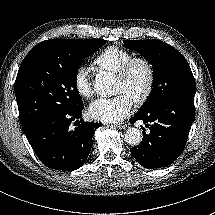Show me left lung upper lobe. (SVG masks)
Returning a JSON list of instances; mask_svg holds the SVG:
<instances>
[{"instance_id":"left-lung-upper-lobe-1","label":"left lung upper lobe","mask_w":215,"mask_h":215,"mask_svg":"<svg viewBox=\"0 0 215 215\" xmlns=\"http://www.w3.org/2000/svg\"><path fill=\"white\" fill-rule=\"evenodd\" d=\"M124 46L143 55L153 65V89L137 113L151 110L160 102L195 92V79L184 56L159 40H124Z\"/></svg>"}]
</instances>
